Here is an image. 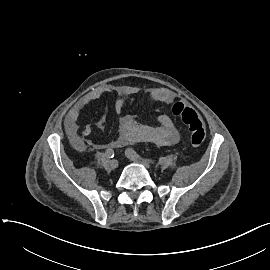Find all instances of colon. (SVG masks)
<instances>
[{"mask_svg": "<svg viewBox=\"0 0 270 270\" xmlns=\"http://www.w3.org/2000/svg\"><path fill=\"white\" fill-rule=\"evenodd\" d=\"M172 113L188 127L191 146L199 148L205 139V128L199 115L190 106L182 102H176L172 106Z\"/></svg>", "mask_w": 270, "mask_h": 270, "instance_id": "1", "label": "colon"}]
</instances>
